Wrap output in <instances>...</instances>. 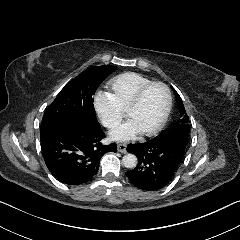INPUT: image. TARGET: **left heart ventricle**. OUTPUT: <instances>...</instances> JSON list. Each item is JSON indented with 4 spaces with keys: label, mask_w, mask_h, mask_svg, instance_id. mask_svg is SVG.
Returning a JSON list of instances; mask_svg holds the SVG:
<instances>
[{
    "label": "left heart ventricle",
    "mask_w": 240,
    "mask_h": 240,
    "mask_svg": "<svg viewBox=\"0 0 240 240\" xmlns=\"http://www.w3.org/2000/svg\"><path fill=\"white\" fill-rule=\"evenodd\" d=\"M165 105V93L161 87L154 86L146 91L140 105L128 115L142 131L152 129L161 119Z\"/></svg>",
    "instance_id": "1"
}]
</instances>
